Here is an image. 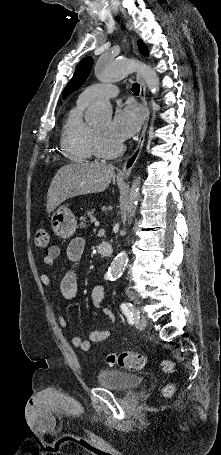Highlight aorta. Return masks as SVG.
<instances>
[{"mask_svg":"<svg viewBox=\"0 0 221 455\" xmlns=\"http://www.w3.org/2000/svg\"><path fill=\"white\" fill-rule=\"evenodd\" d=\"M136 71L142 75L148 89L154 95H157L160 89L159 77L149 65L144 63L136 62L128 58H121L114 61L106 59L102 60L97 65L95 73L96 77L101 82H116ZM111 115L112 108L110 103L106 100H98L89 108L86 119L89 123H98L109 118ZM140 183V176L133 180L129 194V202L125 208L128 224L130 225L136 213V206L140 196ZM127 262V252L121 251L111 263L108 269V277L110 279L117 278L123 272Z\"/></svg>","mask_w":221,"mask_h":455,"instance_id":"obj_1","label":"aorta"}]
</instances>
